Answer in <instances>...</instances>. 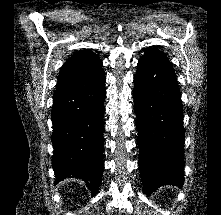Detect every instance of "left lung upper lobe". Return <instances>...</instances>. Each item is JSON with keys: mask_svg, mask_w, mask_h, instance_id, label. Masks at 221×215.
Segmentation results:
<instances>
[{"mask_svg": "<svg viewBox=\"0 0 221 215\" xmlns=\"http://www.w3.org/2000/svg\"><path fill=\"white\" fill-rule=\"evenodd\" d=\"M142 59L153 60L158 62H164L170 65L168 57L156 48H149L145 54L141 57Z\"/></svg>", "mask_w": 221, "mask_h": 215, "instance_id": "left-lung-upper-lobe-1", "label": "left lung upper lobe"}]
</instances>
